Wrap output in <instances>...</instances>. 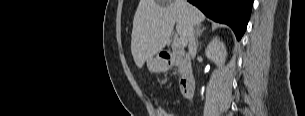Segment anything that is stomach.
Returning <instances> with one entry per match:
<instances>
[{"instance_id":"obj_1","label":"stomach","mask_w":305,"mask_h":116,"mask_svg":"<svg viewBox=\"0 0 305 116\" xmlns=\"http://www.w3.org/2000/svg\"><path fill=\"white\" fill-rule=\"evenodd\" d=\"M147 67L153 73H160L167 70V63L159 55L147 59Z\"/></svg>"}]
</instances>
